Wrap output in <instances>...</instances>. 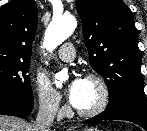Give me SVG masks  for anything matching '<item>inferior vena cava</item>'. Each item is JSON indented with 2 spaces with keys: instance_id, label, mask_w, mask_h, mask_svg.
Returning a JSON list of instances; mask_svg holds the SVG:
<instances>
[{
  "instance_id": "1",
  "label": "inferior vena cava",
  "mask_w": 147,
  "mask_h": 131,
  "mask_svg": "<svg viewBox=\"0 0 147 131\" xmlns=\"http://www.w3.org/2000/svg\"><path fill=\"white\" fill-rule=\"evenodd\" d=\"M57 104L52 101L42 102L34 124L36 131H50L56 115Z\"/></svg>"
}]
</instances>
